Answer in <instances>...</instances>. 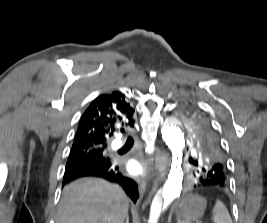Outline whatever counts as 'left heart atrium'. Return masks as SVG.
Segmentation results:
<instances>
[{
    "mask_svg": "<svg viewBox=\"0 0 267 223\" xmlns=\"http://www.w3.org/2000/svg\"><path fill=\"white\" fill-rule=\"evenodd\" d=\"M127 168H128V171L134 175L141 174L145 171L144 164L139 160L129 161V163L127 164Z\"/></svg>",
    "mask_w": 267,
    "mask_h": 223,
    "instance_id": "39dd6f15",
    "label": "left heart atrium"
}]
</instances>
